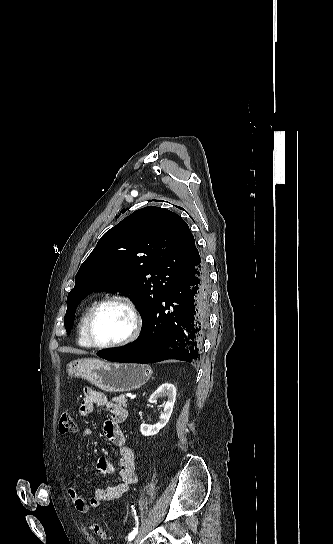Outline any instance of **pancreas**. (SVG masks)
<instances>
[{
	"mask_svg": "<svg viewBox=\"0 0 333 544\" xmlns=\"http://www.w3.org/2000/svg\"><path fill=\"white\" fill-rule=\"evenodd\" d=\"M114 402L118 403L119 405H122L124 407H127V399L125 398L124 395H120L118 397H114L112 399Z\"/></svg>",
	"mask_w": 333,
	"mask_h": 544,
	"instance_id": "obj_1",
	"label": "pancreas"
}]
</instances>
